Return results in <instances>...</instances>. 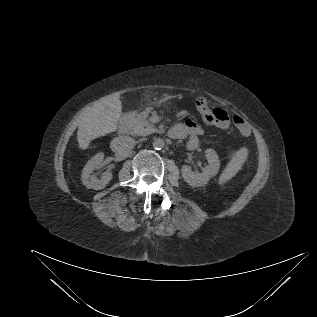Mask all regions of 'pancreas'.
Returning a JSON list of instances; mask_svg holds the SVG:
<instances>
[{
	"instance_id": "1",
	"label": "pancreas",
	"mask_w": 317,
	"mask_h": 317,
	"mask_svg": "<svg viewBox=\"0 0 317 317\" xmlns=\"http://www.w3.org/2000/svg\"><path fill=\"white\" fill-rule=\"evenodd\" d=\"M148 112L143 111L141 113L135 114L131 113L128 116L129 129L128 133L131 135L145 136L153 132H157V129L152 123L147 119Z\"/></svg>"
}]
</instances>
